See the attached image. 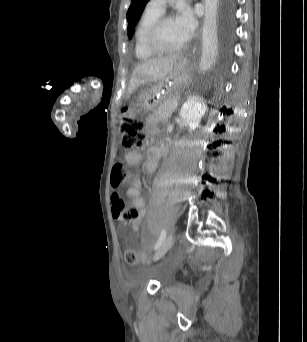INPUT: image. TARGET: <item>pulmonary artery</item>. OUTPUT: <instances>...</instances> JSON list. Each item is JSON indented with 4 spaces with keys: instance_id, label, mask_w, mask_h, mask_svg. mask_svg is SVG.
I'll return each instance as SVG.
<instances>
[{
    "instance_id": "e3ab8cb5",
    "label": "pulmonary artery",
    "mask_w": 307,
    "mask_h": 342,
    "mask_svg": "<svg viewBox=\"0 0 307 342\" xmlns=\"http://www.w3.org/2000/svg\"><path fill=\"white\" fill-rule=\"evenodd\" d=\"M169 1H147V6L150 10L162 14L164 12V6Z\"/></svg>"
}]
</instances>
